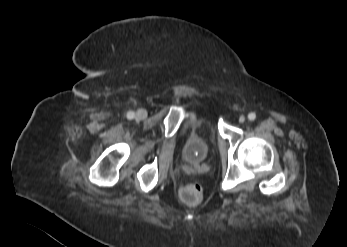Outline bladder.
<instances>
[{
	"mask_svg": "<svg viewBox=\"0 0 347 247\" xmlns=\"http://www.w3.org/2000/svg\"><path fill=\"white\" fill-rule=\"evenodd\" d=\"M217 117L207 109L195 111L187 123L183 158L190 164L204 162L217 139Z\"/></svg>",
	"mask_w": 347,
	"mask_h": 247,
	"instance_id": "obj_1",
	"label": "bladder"
}]
</instances>
